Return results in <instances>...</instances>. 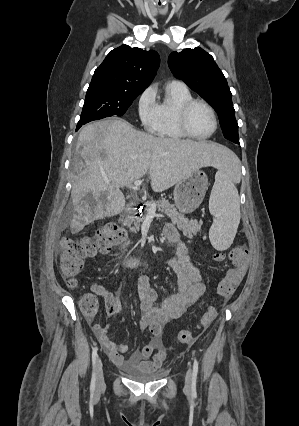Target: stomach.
<instances>
[{"label": "stomach", "instance_id": "obj_1", "mask_svg": "<svg viewBox=\"0 0 299 426\" xmlns=\"http://www.w3.org/2000/svg\"><path fill=\"white\" fill-rule=\"evenodd\" d=\"M208 189V178L204 171L193 172L179 181L174 188V202L183 214L193 212L202 203Z\"/></svg>", "mask_w": 299, "mask_h": 426}]
</instances>
